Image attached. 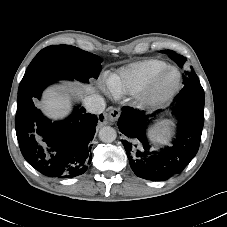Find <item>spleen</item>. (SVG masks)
<instances>
[{
	"label": "spleen",
	"mask_w": 227,
	"mask_h": 227,
	"mask_svg": "<svg viewBox=\"0 0 227 227\" xmlns=\"http://www.w3.org/2000/svg\"><path fill=\"white\" fill-rule=\"evenodd\" d=\"M170 125H172L171 121H168L162 125V127H157L150 133V138L154 143L166 145L168 144V138L171 134Z\"/></svg>",
	"instance_id": "obj_1"
}]
</instances>
